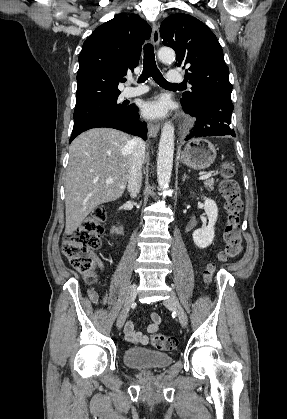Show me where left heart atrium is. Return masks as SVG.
Returning a JSON list of instances; mask_svg holds the SVG:
<instances>
[{"mask_svg": "<svg viewBox=\"0 0 287 419\" xmlns=\"http://www.w3.org/2000/svg\"><path fill=\"white\" fill-rule=\"evenodd\" d=\"M168 108V101L158 97L146 102L142 107V113L146 118H157L163 116Z\"/></svg>", "mask_w": 287, "mask_h": 419, "instance_id": "obj_1", "label": "left heart atrium"}]
</instances>
